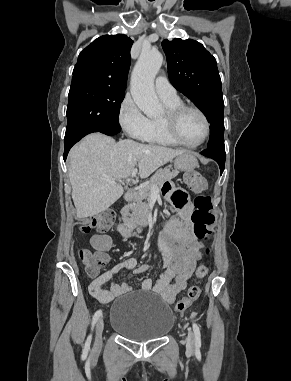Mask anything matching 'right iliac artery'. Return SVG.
Masks as SVG:
<instances>
[{"mask_svg":"<svg viewBox=\"0 0 291 381\" xmlns=\"http://www.w3.org/2000/svg\"><path fill=\"white\" fill-rule=\"evenodd\" d=\"M102 314V311L101 310H98L95 312V314L93 315V318H92V329L94 328V325L95 323L97 322V320L99 319V317L101 316ZM90 341H91V335L87 338V341H86V344L85 346L88 348L89 345H90Z\"/></svg>","mask_w":291,"mask_h":381,"instance_id":"1","label":"right iliac artery"}]
</instances>
